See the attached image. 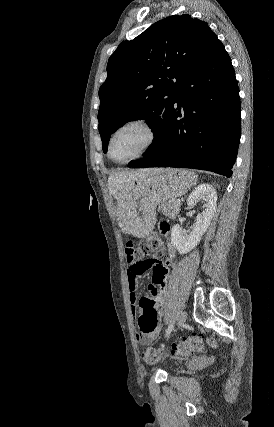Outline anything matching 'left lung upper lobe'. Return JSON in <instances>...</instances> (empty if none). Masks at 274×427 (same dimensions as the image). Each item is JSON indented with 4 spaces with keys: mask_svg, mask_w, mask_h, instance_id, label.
<instances>
[{
    "mask_svg": "<svg viewBox=\"0 0 274 427\" xmlns=\"http://www.w3.org/2000/svg\"><path fill=\"white\" fill-rule=\"evenodd\" d=\"M215 36L206 22L190 15H173L118 46L108 60V75L99 89L103 152L111 134L131 119H145L156 140L181 80Z\"/></svg>",
    "mask_w": 274,
    "mask_h": 427,
    "instance_id": "left-lung-upper-lobe-1",
    "label": "left lung upper lobe"
}]
</instances>
